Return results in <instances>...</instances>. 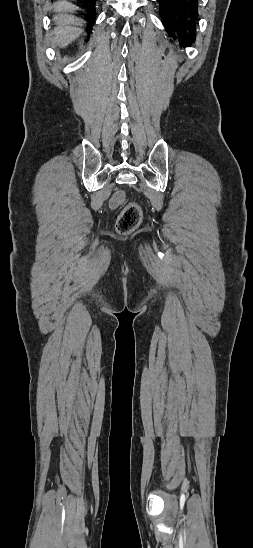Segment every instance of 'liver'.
Returning a JSON list of instances; mask_svg holds the SVG:
<instances>
[{"label": "liver", "mask_w": 253, "mask_h": 548, "mask_svg": "<svg viewBox=\"0 0 253 548\" xmlns=\"http://www.w3.org/2000/svg\"><path fill=\"white\" fill-rule=\"evenodd\" d=\"M53 8L57 13L54 16L56 27L54 29L53 45L64 48L80 36L82 29L78 26L83 24V20L67 14V12L77 9L76 6L67 1L54 3Z\"/></svg>", "instance_id": "6515ba94"}]
</instances>
